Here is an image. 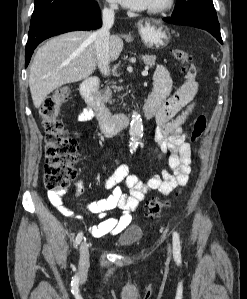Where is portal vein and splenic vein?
<instances>
[{
  "mask_svg": "<svg viewBox=\"0 0 247 299\" xmlns=\"http://www.w3.org/2000/svg\"><path fill=\"white\" fill-rule=\"evenodd\" d=\"M143 76H147L148 75V67H145V70L142 72Z\"/></svg>",
  "mask_w": 247,
  "mask_h": 299,
  "instance_id": "18ae733b",
  "label": "portal vein and splenic vein"
}]
</instances>
